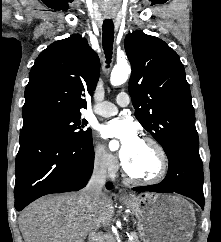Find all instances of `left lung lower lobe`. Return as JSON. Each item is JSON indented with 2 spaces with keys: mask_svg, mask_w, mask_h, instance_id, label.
<instances>
[{
  "mask_svg": "<svg viewBox=\"0 0 221 242\" xmlns=\"http://www.w3.org/2000/svg\"><path fill=\"white\" fill-rule=\"evenodd\" d=\"M169 159L165 179L156 185L135 187V191L176 192L190 197L204 208L203 165L197 148H178Z\"/></svg>",
  "mask_w": 221,
  "mask_h": 242,
  "instance_id": "left-lung-lower-lobe-1",
  "label": "left lung lower lobe"
}]
</instances>
